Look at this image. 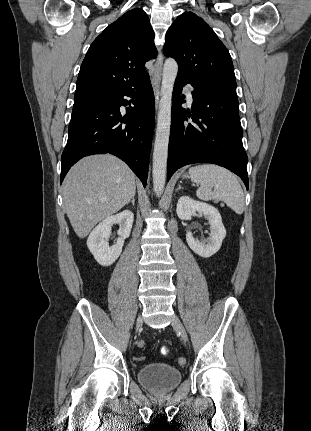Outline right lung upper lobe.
I'll list each match as a JSON object with an SVG mask.
<instances>
[{
	"label": "right lung upper lobe",
	"instance_id": "right-lung-upper-lobe-1",
	"mask_svg": "<svg viewBox=\"0 0 311 431\" xmlns=\"http://www.w3.org/2000/svg\"><path fill=\"white\" fill-rule=\"evenodd\" d=\"M147 14L132 9L110 24L91 44L82 62L74 99L116 92L137 84L156 57Z\"/></svg>",
	"mask_w": 311,
	"mask_h": 431
}]
</instances>
